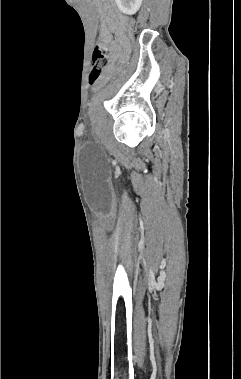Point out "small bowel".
<instances>
[{"mask_svg": "<svg viewBox=\"0 0 241 379\" xmlns=\"http://www.w3.org/2000/svg\"><path fill=\"white\" fill-rule=\"evenodd\" d=\"M96 6L100 13V31L99 42L104 46H109L113 33L120 35L121 40L113 48L112 62L119 58L126 46L125 30L127 19L124 15L110 9L111 0H95ZM113 70L112 64L105 71V77H108Z\"/></svg>", "mask_w": 241, "mask_h": 379, "instance_id": "small-bowel-1", "label": "small bowel"}]
</instances>
